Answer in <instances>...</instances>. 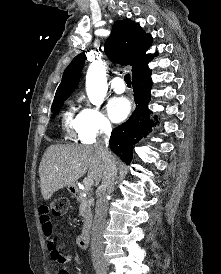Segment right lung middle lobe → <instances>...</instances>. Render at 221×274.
<instances>
[{
    "mask_svg": "<svg viewBox=\"0 0 221 274\" xmlns=\"http://www.w3.org/2000/svg\"><path fill=\"white\" fill-rule=\"evenodd\" d=\"M70 96L69 95H62L54 98L51 111L55 114L59 112V109L62 107L64 101Z\"/></svg>",
    "mask_w": 221,
    "mask_h": 274,
    "instance_id": "right-lung-middle-lobe-1",
    "label": "right lung middle lobe"
}]
</instances>
